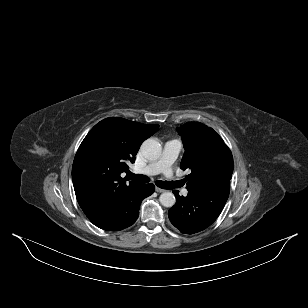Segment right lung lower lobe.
<instances>
[{
  "instance_id": "right-lung-lower-lobe-1",
  "label": "right lung lower lobe",
  "mask_w": 308,
  "mask_h": 308,
  "mask_svg": "<svg viewBox=\"0 0 308 308\" xmlns=\"http://www.w3.org/2000/svg\"><path fill=\"white\" fill-rule=\"evenodd\" d=\"M154 190L155 187L153 184H142L132 197L131 201L116 217L92 223L107 231H120L131 226L138 218L141 201L150 196Z\"/></svg>"
}]
</instances>
